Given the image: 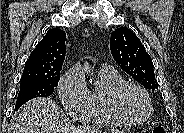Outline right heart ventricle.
<instances>
[{"instance_id":"e07e8e85","label":"right heart ventricle","mask_w":184,"mask_h":133,"mask_svg":"<svg viewBox=\"0 0 184 133\" xmlns=\"http://www.w3.org/2000/svg\"><path fill=\"white\" fill-rule=\"evenodd\" d=\"M99 84L91 92V107L86 121L98 125L116 126L120 122L108 108L107 96L111 89L124 82L123 77L114 69L103 67L99 71Z\"/></svg>"}]
</instances>
